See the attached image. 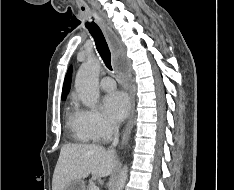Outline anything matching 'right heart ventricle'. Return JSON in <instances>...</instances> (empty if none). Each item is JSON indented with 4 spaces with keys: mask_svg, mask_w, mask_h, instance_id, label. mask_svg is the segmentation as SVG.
<instances>
[{
    "mask_svg": "<svg viewBox=\"0 0 234 190\" xmlns=\"http://www.w3.org/2000/svg\"><path fill=\"white\" fill-rule=\"evenodd\" d=\"M67 123L75 138L82 142L94 141V139L82 128L79 121V110L75 107L67 109Z\"/></svg>",
    "mask_w": 234,
    "mask_h": 190,
    "instance_id": "right-heart-ventricle-1",
    "label": "right heart ventricle"
}]
</instances>
